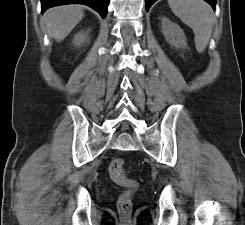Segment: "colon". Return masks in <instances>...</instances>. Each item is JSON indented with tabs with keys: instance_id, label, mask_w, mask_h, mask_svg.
I'll return each instance as SVG.
<instances>
[{
	"instance_id": "5ec220e1",
	"label": "colon",
	"mask_w": 245,
	"mask_h": 225,
	"mask_svg": "<svg viewBox=\"0 0 245 225\" xmlns=\"http://www.w3.org/2000/svg\"><path fill=\"white\" fill-rule=\"evenodd\" d=\"M108 173L115 183L124 187V191L120 194L118 199L119 212L126 216L130 215L133 206V194L138 189L137 181L127 175L126 162L120 157L111 160L108 165Z\"/></svg>"
}]
</instances>
